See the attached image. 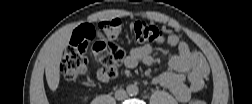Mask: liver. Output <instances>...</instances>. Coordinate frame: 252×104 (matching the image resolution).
<instances>
[{"label":"liver","instance_id":"obj_1","mask_svg":"<svg viewBox=\"0 0 252 104\" xmlns=\"http://www.w3.org/2000/svg\"><path fill=\"white\" fill-rule=\"evenodd\" d=\"M72 28L60 32L49 47L46 57L45 75L51 91H56L60 81V62L65 48L68 46Z\"/></svg>","mask_w":252,"mask_h":104}]
</instances>
